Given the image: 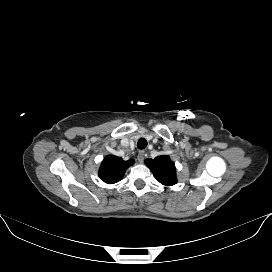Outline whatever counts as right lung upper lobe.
Returning <instances> with one entry per match:
<instances>
[{"instance_id": "right-lung-upper-lobe-1", "label": "right lung upper lobe", "mask_w": 272, "mask_h": 272, "mask_svg": "<svg viewBox=\"0 0 272 272\" xmlns=\"http://www.w3.org/2000/svg\"><path fill=\"white\" fill-rule=\"evenodd\" d=\"M134 164V160L124 161L117 156H106L99 169V177L107 184H114L122 180L126 170Z\"/></svg>"}]
</instances>
